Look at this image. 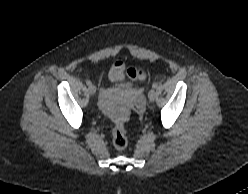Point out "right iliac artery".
<instances>
[{
    "label": "right iliac artery",
    "mask_w": 248,
    "mask_h": 194,
    "mask_svg": "<svg viewBox=\"0 0 248 194\" xmlns=\"http://www.w3.org/2000/svg\"><path fill=\"white\" fill-rule=\"evenodd\" d=\"M86 84H87L88 86H90L92 83H91L90 80H87V81H86Z\"/></svg>",
    "instance_id": "82829eb1"
}]
</instances>
